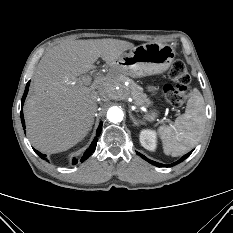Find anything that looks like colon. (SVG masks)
Returning <instances> with one entry per match:
<instances>
[{"label":"colon","instance_id":"5ec220e1","mask_svg":"<svg viewBox=\"0 0 233 233\" xmlns=\"http://www.w3.org/2000/svg\"><path fill=\"white\" fill-rule=\"evenodd\" d=\"M169 78L173 83L164 86V94L171 104L175 106L182 105L188 97L191 80L182 61L177 60L172 64L169 70Z\"/></svg>","mask_w":233,"mask_h":233}]
</instances>
